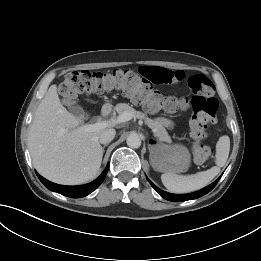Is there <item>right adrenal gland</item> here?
<instances>
[{"instance_id": "obj_1", "label": "right adrenal gland", "mask_w": 261, "mask_h": 261, "mask_svg": "<svg viewBox=\"0 0 261 261\" xmlns=\"http://www.w3.org/2000/svg\"><path fill=\"white\" fill-rule=\"evenodd\" d=\"M106 146H107V144H105V145L102 147L103 152H104V149H105Z\"/></svg>"}]
</instances>
